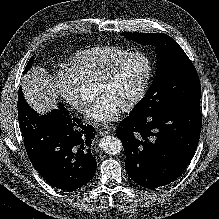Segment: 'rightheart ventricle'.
<instances>
[{"label": "right heart ventricle", "instance_id": "1", "mask_svg": "<svg viewBox=\"0 0 219 219\" xmlns=\"http://www.w3.org/2000/svg\"><path fill=\"white\" fill-rule=\"evenodd\" d=\"M130 50L118 45H100L76 52L71 70L81 79H97L116 59Z\"/></svg>", "mask_w": 219, "mask_h": 219}]
</instances>
